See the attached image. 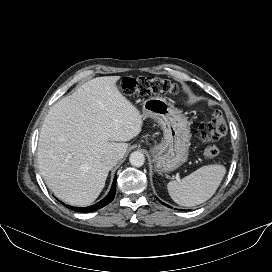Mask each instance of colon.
<instances>
[{
	"mask_svg": "<svg viewBox=\"0 0 272 272\" xmlns=\"http://www.w3.org/2000/svg\"><path fill=\"white\" fill-rule=\"evenodd\" d=\"M127 95L146 96L149 94L173 95L179 88L173 82L153 77H127L119 86ZM227 124L220 111H215L210 121L202 123L197 134L206 142H214L226 134ZM219 154L217 146L210 144L204 150V156L208 160L215 159Z\"/></svg>",
	"mask_w": 272,
	"mask_h": 272,
	"instance_id": "5ec220e1",
	"label": "colon"
}]
</instances>
